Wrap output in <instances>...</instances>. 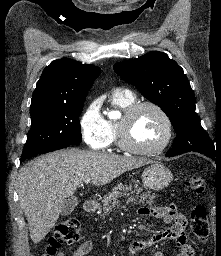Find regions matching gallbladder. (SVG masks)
Returning a JSON list of instances; mask_svg holds the SVG:
<instances>
[{
    "label": "gallbladder",
    "instance_id": "bac80fb5",
    "mask_svg": "<svg viewBox=\"0 0 221 256\" xmlns=\"http://www.w3.org/2000/svg\"><path fill=\"white\" fill-rule=\"evenodd\" d=\"M77 205H78V199L76 197L68 198L62 207L61 214L63 216L70 215Z\"/></svg>",
    "mask_w": 221,
    "mask_h": 256
}]
</instances>
